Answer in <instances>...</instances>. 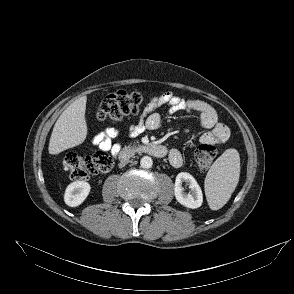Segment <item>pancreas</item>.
Masks as SVG:
<instances>
[{"label": "pancreas", "mask_w": 294, "mask_h": 294, "mask_svg": "<svg viewBox=\"0 0 294 294\" xmlns=\"http://www.w3.org/2000/svg\"><path fill=\"white\" fill-rule=\"evenodd\" d=\"M136 144H138V141L134 142L133 145L135 146Z\"/></svg>", "instance_id": "1"}]
</instances>
